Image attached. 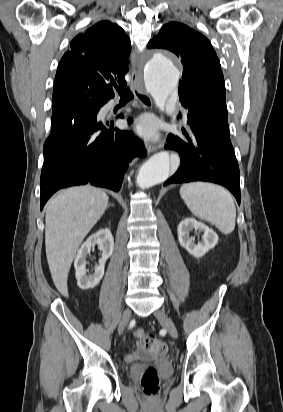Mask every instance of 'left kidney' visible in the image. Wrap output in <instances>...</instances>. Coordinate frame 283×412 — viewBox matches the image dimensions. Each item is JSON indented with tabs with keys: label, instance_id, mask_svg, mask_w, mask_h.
<instances>
[{
	"label": "left kidney",
	"instance_id": "1",
	"mask_svg": "<svg viewBox=\"0 0 283 412\" xmlns=\"http://www.w3.org/2000/svg\"><path fill=\"white\" fill-rule=\"evenodd\" d=\"M193 229L204 232L202 241L197 244L194 238L190 237V232ZM178 240L180 245L185 248L190 255L200 258L215 247L218 242V235L208 226L196 221L194 218H186L181 221L178 226Z\"/></svg>",
	"mask_w": 283,
	"mask_h": 412
}]
</instances>
